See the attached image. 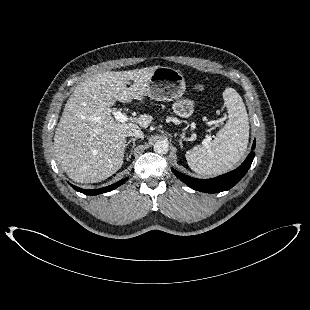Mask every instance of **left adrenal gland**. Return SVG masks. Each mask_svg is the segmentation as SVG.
<instances>
[{"instance_id":"left-adrenal-gland-1","label":"left adrenal gland","mask_w":310,"mask_h":310,"mask_svg":"<svg viewBox=\"0 0 310 310\" xmlns=\"http://www.w3.org/2000/svg\"><path fill=\"white\" fill-rule=\"evenodd\" d=\"M179 144H180L181 147H183L182 139L179 140Z\"/></svg>"}]
</instances>
